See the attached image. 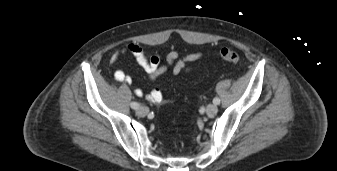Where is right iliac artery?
<instances>
[{
  "label": "right iliac artery",
  "instance_id": "82829eb1",
  "mask_svg": "<svg viewBox=\"0 0 337 171\" xmlns=\"http://www.w3.org/2000/svg\"><path fill=\"white\" fill-rule=\"evenodd\" d=\"M130 106H131L132 109H135V110H136V109L139 108L140 104L137 103V102H131Z\"/></svg>",
  "mask_w": 337,
  "mask_h": 171
}]
</instances>
